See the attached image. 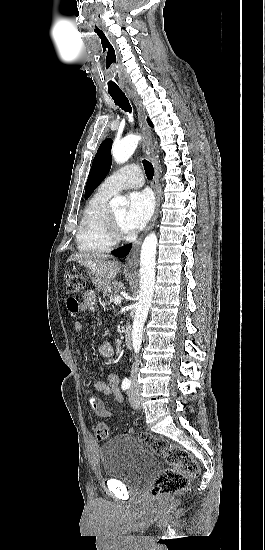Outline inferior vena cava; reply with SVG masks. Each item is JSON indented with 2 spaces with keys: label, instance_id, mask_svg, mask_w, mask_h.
Listing matches in <instances>:
<instances>
[{
  "label": "inferior vena cava",
  "instance_id": "inferior-vena-cava-1",
  "mask_svg": "<svg viewBox=\"0 0 265 550\" xmlns=\"http://www.w3.org/2000/svg\"><path fill=\"white\" fill-rule=\"evenodd\" d=\"M139 367V360L136 359L131 369V380L134 382L136 380L137 372Z\"/></svg>",
  "mask_w": 265,
  "mask_h": 550
}]
</instances>
